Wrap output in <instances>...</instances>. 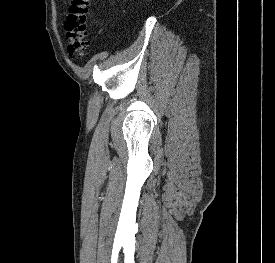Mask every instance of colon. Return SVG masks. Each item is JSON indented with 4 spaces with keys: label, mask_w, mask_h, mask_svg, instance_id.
I'll list each match as a JSON object with an SVG mask.
<instances>
[{
    "label": "colon",
    "mask_w": 275,
    "mask_h": 263,
    "mask_svg": "<svg viewBox=\"0 0 275 263\" xmlns=\"http://www.w3.org/2000/svg\"><path fill=\"white\" fill-rule=\"evenodd\" d=\"M90 0H72L65 31L68 38V54L71 57L81 58L88 48V28L91 21Z\"/></svg>",
    "instance_id": "obj_1"
}]
</instances>
